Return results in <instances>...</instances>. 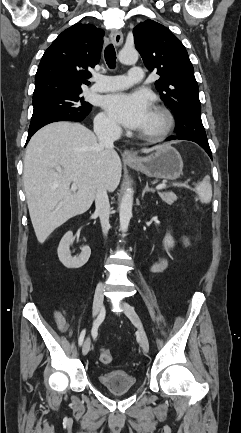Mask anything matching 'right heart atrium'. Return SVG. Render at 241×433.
I'll list each match as a JSON object with an SVG mask.
<instances>
[{
    "mask_svg": "<svg viewBox=\"0 0 241 433\" xmlns=\"http://www.w3.org/2000/svg\"><path fill=\"white\" fill-rule=\"evenodd\" d=\"M95 127L97 131L110 135H116L120 131L119 126L104 113L97 115Z\"/></svg>",
    "mask_w": 241,
    "mask_h": 433,
    "instance_id": "1",
    "label": "right heart atrium"
}]
</instances>
